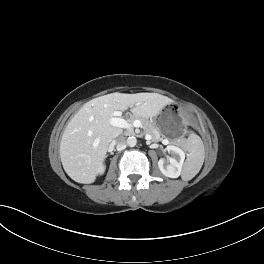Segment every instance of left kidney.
I'll return each instance as SVG.
<instances>
[{
	"instance_id": "5707ae66",
	"label": "left kidney",
	"mask_w": 264,
	"mask_h": 264,
	"mask_svg": "<svg viewBox=\"0 0 264 264\" xmlns=\"http://www.w3.org/2000/svg\"><path fill=\"white\" fill-rule=\"evenodd\" d=\"M166 149L172 157L169 158V163H166L164 159H160L158 161V167L166 177L178 178L181 175L185 153L182 149L174 145H168Z\"/></svg>"
}]
</instances>
